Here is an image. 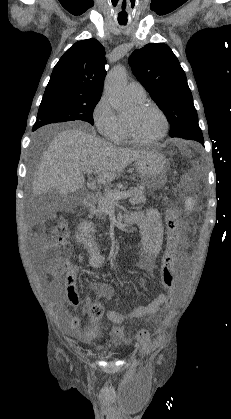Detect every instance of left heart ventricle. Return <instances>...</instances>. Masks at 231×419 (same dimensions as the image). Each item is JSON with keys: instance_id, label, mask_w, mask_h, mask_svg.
I'll use <instances>...</instances> for the list:
<instances>
[{"instance_id": "left-heart-ventricle-1", "label": "left heart ventricle", "mask_w": 231, "mask_h": 419, "mask_svg": "<svg viewBox=\"0 0 231 419\" xmlns=\"http://www.w3.org/2000/svg\"><path fill=\"white\" fill-rule=\"evenodd\" d=\"M135 134L142 139H152L163 130V120L158 112L152 109L136 111L135 108L127 115Z\"/></svg>"}]
</instances>
